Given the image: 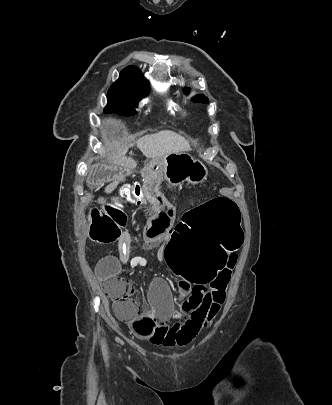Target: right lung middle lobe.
<instances>
[{
  "label": "right lung middle lobe",
  "instance_id": "dd1d6c3e",
  "mask_svg": "<svg viewBox=\"0 0 332 405\" xmlns=\"http://www.w3.org/2000/svg\"><path fill=\"white\" fill-rule=\"evenodd\" d=\"M147 92L148 89H137L120 81H115L108 91V103L104 112L116 113L124 116L135 115L137 113L135 108Z\"/></svg>",
  "mask_w": 332,
  "mask_h": 405
}]
</instances>
